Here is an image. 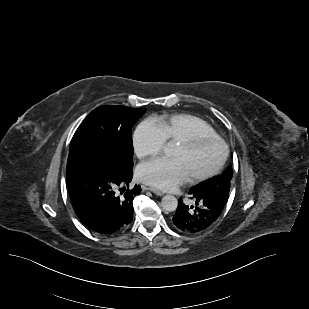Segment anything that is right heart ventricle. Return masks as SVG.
I'll return each mask as SVG.
<instances>
[{"label":"right heart ventricle","mask_w":309,"mask_h":309,"mask_svg":"<svg viewBox=\"0 0 309 309\" xmlns=\"http://www.w3.org/2000/svg\"><path fill=\"white\" fill-rule=\"evenodd\" d=\"M154 122L166 141H179L193 134L217 135L214 128L202 118L186 113L159 117Z\"/></svg>","instance_id":"obj_1"}]
</instances>
